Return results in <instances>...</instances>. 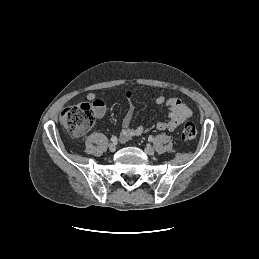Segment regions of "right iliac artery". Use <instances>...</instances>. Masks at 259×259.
Instances as JSON below:
<instances>
[{
  "mask_svg": "<svg viewBox=\"0 0 259 259\" xmlns=\"http://www.w3.org/2000/svg\"><path fill=\"white\" fill-rule=\"evenodd\" d=\"M111 141H112L113 143H116V142H117V137H116V136H112V137H111Z\"/></svg>",
  "mask_w": 259,
  "mask_h": 259,
  "instance_id": "1",
  "label": "right iliac artery"
}]
</instances>
